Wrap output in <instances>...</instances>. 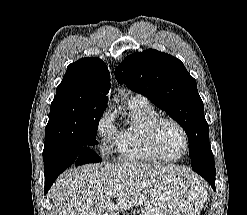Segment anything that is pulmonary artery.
Returning <instances> with one entry per match:
<instances>
[{
    "instance_id": "1",
    "label": "pulmonary artery",
    "mask_w": 247,
    "mask_h": 215,
    "mask_svg": "<svg viewBox=\"0 0 247 215\" xmlns=\"http://www.w3.org/2000/svg\"><path fill=\"white\" fill-rule=\"evenodd\" d=\"M131 101L140 103V104H149L148 99L140 94H135L132 98Z\"/></svg>"
}]
</instances>
